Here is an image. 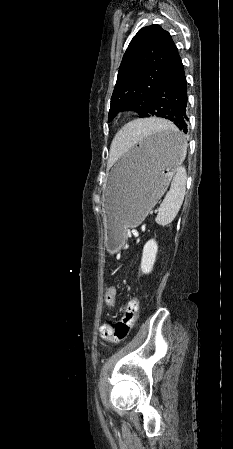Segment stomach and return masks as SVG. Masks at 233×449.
Listing matches in <instances>:
<instances>
[{"mask_svg":"<svg viewBox=\"0 0 233 449\" xmlns=\"http://www.w3.org/2000/svg\"><path fill=\"white\" fill-rule=\"evenodd\" d=\"M179 136L178 130L152 133L111 169L103 192L109 252L119 250L125 230L141 224L166 191L184 157Z\"/></svg>","mask_w":233,"mask_h":449,"instance_id":"obj_1","label":"stomach"}]
</instances>
